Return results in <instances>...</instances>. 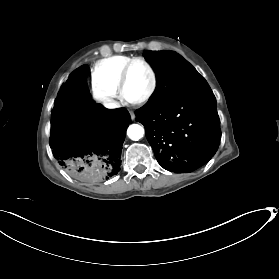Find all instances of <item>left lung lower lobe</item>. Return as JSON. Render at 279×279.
<instances>
[{"mask_svg": "<svg viewBox=\"0 0 279 279\" xmlns=\"http://www.w3.org/2000/svg\"><path fill=\"white\" fill-rule=\"evenodd\" d=\"M164 169L189 173L208 162L221 138L216 99L205 79L169 102L135 112Z\"/></svg>", "mask_w": 279, "mask_h": 279, "instance_id": "left-lung-lower-lobe-1", "label": "left lung lower lobe"}]
</instances>
